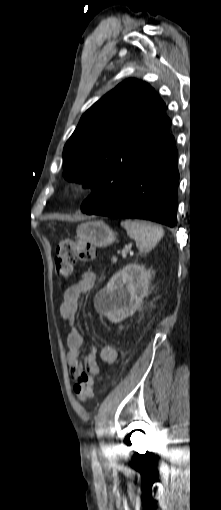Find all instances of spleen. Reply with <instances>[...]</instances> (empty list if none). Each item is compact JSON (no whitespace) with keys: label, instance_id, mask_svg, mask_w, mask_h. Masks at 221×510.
<instances>
[{"label":"spleen","instance_id":"obj_1","mask_svg":"<svg viewBox=\"0 0 221 510\" xmlns=\"http://www.w3.org/2000/svg\"><path fill=\"white\" fill-rule=\"evenodd\" d=\"M121 225L132 238L142 253L151 251L164 235L163 229L151 222L140 220H124Z\"/></svg>","mask_w":221,"mask_h":510}]
</instances>
